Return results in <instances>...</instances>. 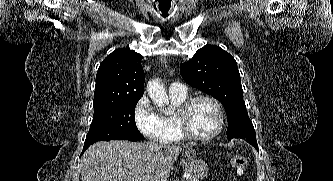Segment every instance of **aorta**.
Wrapping results in <instances>:
<instances>
[{"mask_svg": "<svg viewBox=\"0 0 333 181\" xmlns=\"http://www.w3.org/2000/svg\"><path fill=\"white\" fill-rule=\"evenodd\" d=\"M147 93L154 104L163 107L169 103L167 92L159 79H152L147 83Z\"/></svg>", "mask_w": 333, "mask_h": 181, "instance_id": "obj_1", "label": "aorta"}]
</instances>
